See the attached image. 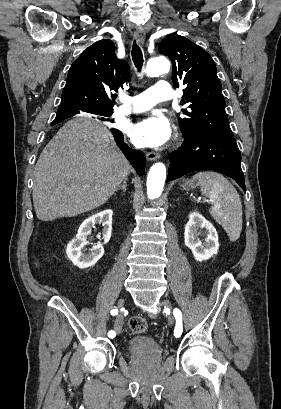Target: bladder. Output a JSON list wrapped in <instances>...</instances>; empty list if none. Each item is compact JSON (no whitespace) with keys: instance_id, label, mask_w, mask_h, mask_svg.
<instances>
[{"instance_id":"1","label":"bladder","mask_w":281,"mask_h":409,"mask_svg":"<svg viewBox=\"0 0 281 409\" xmlns=\"http://www.w3.org/2000/svg\"><path fill=\"white\" fill-rule=\"evenodd\" d=\"M131 355H161V341L150 338L147 334L131 336L125 346Z\"/></svg>"}]
</instances>
